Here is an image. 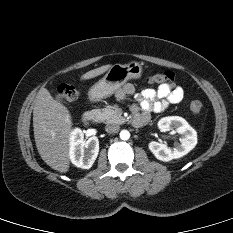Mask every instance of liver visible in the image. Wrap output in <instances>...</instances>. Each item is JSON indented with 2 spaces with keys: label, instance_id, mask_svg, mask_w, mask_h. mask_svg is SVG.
<instances>
[{
  "label": "liver",
  "instance_id": "liver-1",
  "mask_svg": "<svg viewBox=\"0 0 233 233\" xmlns=\"http://www.w3.org/2000/svg\"><path fill=\"white\" fill-rule=\"evenodd\" d=\"M111 65L90 70L80 77L88 80L105 73ZM69 110L54 100L46 88H41L33 108L34 138L42 160L52 169L66 173L70 167L69 137L72 130Z\"/></svg>",
  "mask_w": 233,
  "mask_h": 233
}]
</instances>
